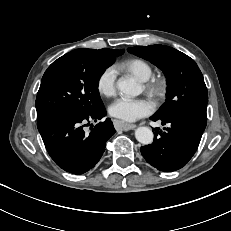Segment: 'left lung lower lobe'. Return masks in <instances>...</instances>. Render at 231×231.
Here are the masks:
<instances>
[{"mask_svg":"<svg viewBox=\"0 0 231 231\" xmlns=\"http://www.w3.org/2000/svg\"><path fill=\"white\" fill-rule=\"evenodd\" d=\"M153 121L160 120L162 125L168 124L165 131H155L152 144L141 147L145 160L163 172H172L185 166L196 152L206 120L185 115L174 114L165 117L153 115Z\"/></svg>","mask_w":231,"mask_h":231,"instance_id":"obj_1","label":"left lung lower lobe"}]
</instances>
